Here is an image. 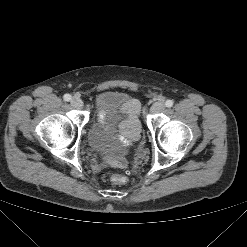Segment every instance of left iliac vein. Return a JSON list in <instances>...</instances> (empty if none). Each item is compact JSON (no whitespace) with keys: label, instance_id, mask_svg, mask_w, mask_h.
I'll list each match as a JSON object with an SVG mask.
<instances>
[{"label":"left iliac vein","instance_id":"1","mask_svg":"<svg viewBox=\"0 0 247 247\" xmlns=\"http://www.w3.org/2000/svg\"><path fill=\"white\" fill-rule=\"evenodd\" d=\"M165 108V104L163 102H155L152 106H151V112L152 113H159L162 112Z\"/></svg>","mask_w":247,"mask_h":247}]
</instances>
